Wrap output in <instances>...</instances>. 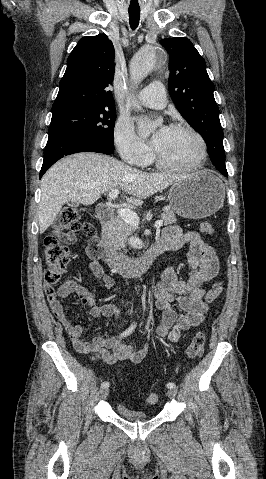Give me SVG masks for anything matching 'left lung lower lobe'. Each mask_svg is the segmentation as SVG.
<instances>
[{
  "mask_svg": "<svg viewBox=\"0 0 266 479\" xmlns=\"http://www.w3.org/2000/svg\"><path fill=\"white\" fill-rule=\"evenodd\" d=\"M220 172H221V173H222L224 176H226V177L228 176V173H227V171H225V170H222V171H220Z\"/></svg>",
  "mask_w": 266,
  "mask_h": 479,
  "instance_id": "1",
  "label": "left lung lower lobe"
}]
</instances>
